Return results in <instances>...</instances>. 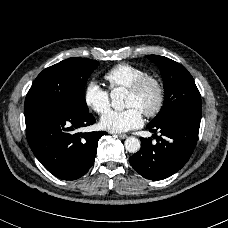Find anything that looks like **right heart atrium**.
<instances>
[{"label":"right heart atrium","mask_w":228,"mask_h":228,"mask_svg":"<svg viewBox=\"0 0 228 228\" xmlns=\"http://www.w3.org/2000/svg\"><path fill=\"white\" fill-rule=\"evenodd\" d=\"M85 105L98 114L104 113L110 106V93L97 80H89L83 91Z\"/></svg>","instance_id":"d8ad5b80"}]
</instances>
